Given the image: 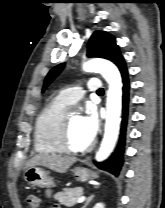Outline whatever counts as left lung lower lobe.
Returning a JSON list of instances; mask_svg holds the SVG:
<instances>
[{
	"instance_id": "1",
	"label": "left lung lower lobe",
	"mask_w": 165,
	"mask_h": 208,
	"mask_svg": "<svg viewBox=\"0 0 165 208\" xmlns=\"http://www.w3.org/2000/svg\"><path fill=\"white\" fill-rule=\"evenodd\" d=\"M116 65L121 72L122 80H123V115H122L120 141L115 152L111 155V157L102 163H96V165L99 168L106 170L114 174L115 176H118L123 165L125 132L128 123L129 80H128V71L124 59L123 58L120 59Z\"/></svg>"
}]
</instances>
